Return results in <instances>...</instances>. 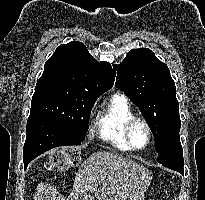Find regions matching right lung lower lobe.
<instances>
[{
	"label": "right lung lower lobe",
	"mask_w": 205,
	"mask_h": 200,
	"mask_svg": "<svg viewBox=\"0 0 205 200\" xmlns=\"http://www.w3.org/2000/svg\"><path fill=\"white\" fill-rule=\"evenodd\" d=\"M26 141L23 149V162L25 169L28 163L54 147L65 145H80L82 142L74 139L53 121L39 116L31 115L27 121Z\"/></svg>",
	"instance_id": "right-lung-lower-lobe-1"
}]
</instances>
